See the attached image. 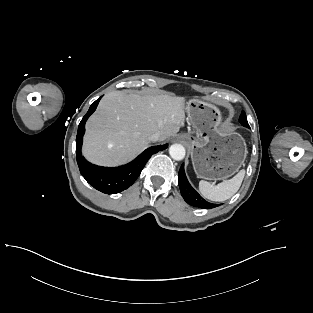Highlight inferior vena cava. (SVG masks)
I'll list each match as a JSON object with an SVG mask.
<instances>
[{
  "instance_id": "1",
  "label": "inferior vena cava",
  "mask_w": 313,
  "mask_h": 313,
  "mask_svg": "<svg viewBox=\"0 0 313 313\" xmlns=\"http://www.w3.org/2000/svg\"><path fill=\"white\" fill-rule=\"evenodd\" d=\"M149 138L151 141H158L161 139V134L160 132H155Z\"/></svg>"
}]
</instances>
